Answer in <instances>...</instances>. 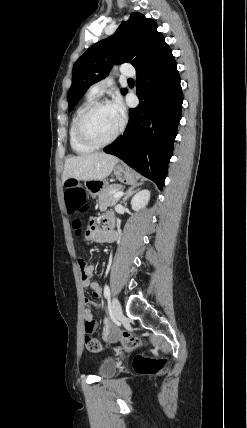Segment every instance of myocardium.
I'll list each match as a JSON object with an SVG mask.
<instances>
[{
  "mask_svg": "<svg viewBox=\"0 0 247 428\" xmlns=\"http://www.w3.org/2000/svg\"><path fill=\"white\" fill-rule=\"evenodd\" d=\"M106 105H108V102L105 100H102V99L95 100L91 104H89L80 114L76 124V132H77L78 138L82 143L93 148H102L112 144L119 137L123 128V123L119 124L118 128L109 139L102 142L94 140L91 136H89V134L86 131L85 123L89 115L97 108L106 106Z\"/></svg>",
  "mask_w": 247,
  "mask_h": 428,
  "instance_id": "obj_1",
  "label": "myocardium"
}]
</instances>
